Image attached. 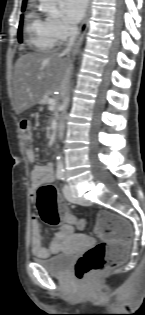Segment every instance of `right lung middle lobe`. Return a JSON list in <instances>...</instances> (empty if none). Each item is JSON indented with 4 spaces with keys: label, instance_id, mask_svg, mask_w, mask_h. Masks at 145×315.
<instances>
[{
    "label": "right lung middle lobe",
    "instance_id": "right-lung-middle-lobe-1",
    "mask_svg": "<svg viewBox=\"0 0 145 315\" xmlns=\"http://www.w3.org/2000/svg\"><path fill=\"white\" fill-rule=\"evenodd\" d=\"M24 9H25V6L22 7V11H24ZM22 24H23V15H21L20 24H19V29H18V39H19V42L22 41Z\"/></svg>",
    "mask_w": 145,
    "mask_h": 315
}]
</instances>
